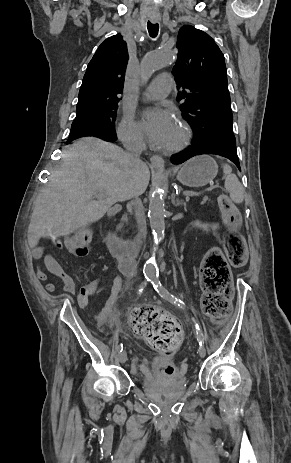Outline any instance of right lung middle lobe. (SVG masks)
<instances>
[{
  "mask_svg": "<svg viewBox=\"0 0 291 463\" xmlns=\"http://www.w3.org/2000/svg\"><path fill=\"white\" fill-rule=\"evenodd\" d=\"M117 108L118 104H112L94 112L77 116L72 123L67 143L86 136L116 135Z\"/></svg>",
  "mask_w": 291,
  "mask_h": 463,
  "instance_id": "1",
  "label": "right lung middle lobe"
}]
</instances>
